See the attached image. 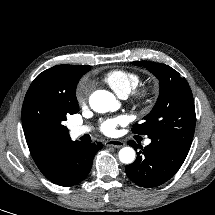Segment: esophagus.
<instances>
[{"label":"esophagus","instance_id":"esophagus-1","mask_svg":"<svg viewBox=\"0 0 215 215\" xmlns=\"http://www.w3.org/2000/svg\"><path fill=\"white\" fill-rule=\"evenodd\" d=\"M105 145L109 147L121 148L125 146V143L121 140H108L105 142Z\"/></svg>","mask_w":215,"mask_h":215}]
</instances>
